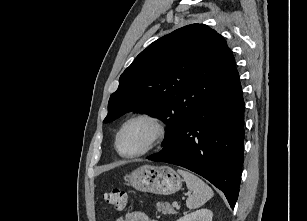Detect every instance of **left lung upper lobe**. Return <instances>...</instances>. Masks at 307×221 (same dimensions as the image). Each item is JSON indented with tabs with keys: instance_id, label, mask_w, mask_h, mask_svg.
<instances>
[{
	"instance_id": "5c2ea615",
	"label": "left lung upper lobe",
	"mask_w": 307,
	"mask_h": 221,
	"mask_svg": "<svg viewBox=\"0 0 307 221\" xmlns=\"http://www.w3.org/2000/svg\"><path fill=\"white\" fill-rule=\"evenodd\" d=\"M235 71L232 52L220 34L204 24L182 27L149 45L122 73L104 122L129 111L150 114L169 128L165 146Z\"/></svg>"
}]
</instances>
